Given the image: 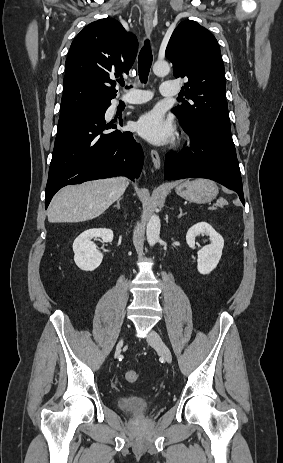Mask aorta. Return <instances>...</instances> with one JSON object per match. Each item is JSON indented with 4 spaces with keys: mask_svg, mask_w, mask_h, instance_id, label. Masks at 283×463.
<instances>
[{
    "mask_svg": "<svg viewBox=\"0 0 283 463\" xmlns=\"http://www.w3.org/2000/svg\"><path fill=\"white\" fill-rule=\"evenodd\" d=\"M170 66L165 61H157L153 65V72L157 76H165L169 73ZM160 219L157 215H152L147 223L146 235L150 246H154L160 239Z\"/></svg>",
    "mask_w": 283,
    "mask_h": 463,
    "instance_id": "obj_1",
    "label": "aorta"
}]
</instances>
